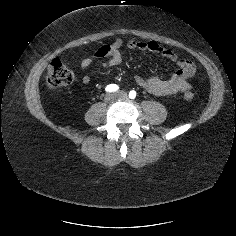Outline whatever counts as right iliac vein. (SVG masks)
<instances>
[{"label": "right iliac vein", "instance_id": "obj_1", "mask_svg": "<svg viewBox=\"0 0 236 236\" xmlns=\"http://www.w3.org/2000/svg\"><path fill=\"white\" fill-rule=\"evenodd\" d=\"M116 99V95L113 93H107L104 97L106 103H112Z\"/></svg>", "mask_w": 236, "mask_h": 236}]
</instances>
